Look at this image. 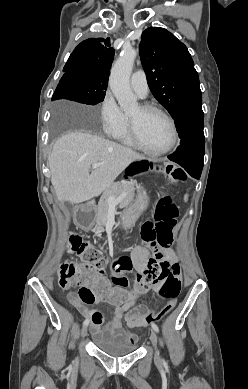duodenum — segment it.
Returning a JSON list of instances; mask_svg holds the SVG:
<instances>
[{"mask_svg":"<svg viewBox=\"0 0 248 389\" xmlns=\"http://www.w3.org/2000/svg\"><path fill=\"white\" fill-rule=\"evenodd\" d=\"M97 201L90 199L86 207L81 208L77 213V221L84 230H89L93 226V220H85V213H92V210L96 207Z\"/></svg>","mask_w":248,"mask_h":389,"instance_id":"duodenum-1","label":"duodenum"}]
</instances>
